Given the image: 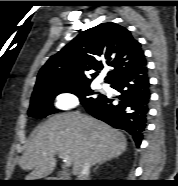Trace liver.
<instances>
[{
  "label": "liver",
  "instance_id": "obj_1",
  "mask_svg": "<svg viewBox=\"0 0 178 186\" xmlns=\"http://www.w3.org/2000/svg\"><path fill=\"white\" fill-rule=\"evenodd\" d=\"M126 147L123 133L97 119L80 112L56 114L33 136L18 164L31 171L27 180H38L53 172L56 154H65L78 175L86 162L95 165L116 158Z\"/></svg>",
  "mask_w": 178,
  "mask_h": 186
}]
</instances>
